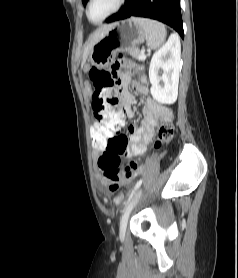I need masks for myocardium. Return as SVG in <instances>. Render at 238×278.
Masks as SVG:
<instances>
[{"mask_svg":"<svg viewBox=\"0 0 238 278\" xmlns=\"http://www.w3.org/2000/svg\"><path fill=\"white\" fill-rule=\"evenodd\" d=\"M125 1L126 0H118L116 7L108 15H106L104 18H102L99 21H94L89 16V8L92 3V0H88L86 3V7H85L86 17H87L88 21L91 22L92 24H101L104 21H106L107 19H109L110 17H112L113 15H115L117 12H119L121 10V8L123 7Z\"/></svg>","mask_w":238,"mask_h":278,"instance_id":"obj_1","label":"myocardium"}]
</instances>
